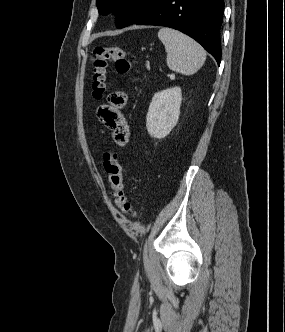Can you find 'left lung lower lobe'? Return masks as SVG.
Returning <instances> with one entry per match:
<instances>
[{"mask_svg":"<svg viewBox=\"0 0 285 332\" xmlns=\"http://www.w3.org/2000/svg\"><path fill=\"white\" fill-rule=\"evenodd\" d=\"M224 0H156L134 23L177 29L199 42L221 61L220 27Z\"/></svg>","mask_w":285,"mask_h":332,"instance_id":"obj_1","label":"left lung lower lobe"}]
</instances>
